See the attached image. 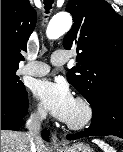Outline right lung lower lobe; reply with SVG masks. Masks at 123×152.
<instances>
[{"label":"right lung lower lobe","instance_id":"right-lung-lower-lobe-1","mask_svg":"<svg viewBox=\"0 0 123 152\" xmlns=\"http://www.w3.org/2000/svg\"><path fill=\"white\" fill-rule=\"evenodd\" d=\"M28 111V97L27 93L19 98H1V130L20 129L24 123L23 118ZM49 131L43 130L42 137L48 140Z\"/></svg>","mask_w":123,"mask_h":152}]
</instances>
